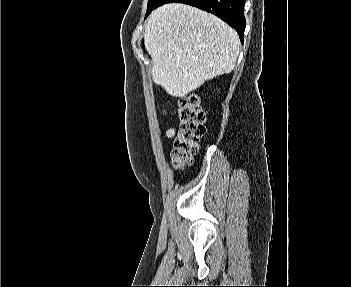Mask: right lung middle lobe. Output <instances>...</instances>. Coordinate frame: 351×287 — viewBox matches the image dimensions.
<instances>
[{"instance_id": "dd1d6c3e", "label": "right lung middle lobe", "mask_w": 351, "mask_h": 287, "mask_svg": "<svg viewBox=\"0 0 351 287\" xmlns=\"http://www.w3.org/2000/svg\"><path fill=\"white\" fill-rule=\"evenodd\" d=\"M160 0H148V7L146 12V17L155 9L156 5L159 3Z\"/></svg>"}]
</instances>
